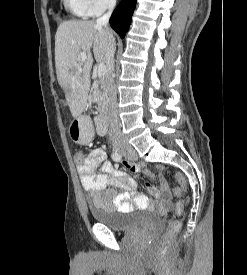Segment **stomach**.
<instances>
[{
	"mask_svg": "<svg viewBox=\"0 0 247 275\" xmlns=\"http://www.w3.org/2000/svg\"><path fill=\"white\" fill-rule=\"evenodd\" d=\"M71 139L78 144H85L91 141L93 133L89 125H84L79 119L74 120L69 129Z\"/></svg>",
	"mask_w": 247,
	"mask_h": 275,
	"instance_id": "1",
	"label": "stomach"
}]
</instances>
